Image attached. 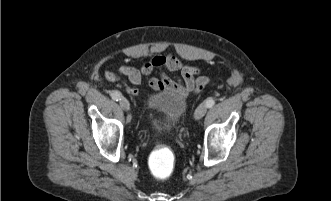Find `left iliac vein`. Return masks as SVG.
Wrapping results in <instances>:
<instances>
[{
    "label": "left iliac vein",
    "instance_id": "4c4485c4",
    "mask_svg": "<svg viewBox=\"0 0 331 201\" xmlns=\"http://www.w3.org/2000/svg\"><path fill=\"white\" fill-rule=\"evenodd\" d=\"M206 111H207L206 105L200 104L195 110V113H194L195 119L196 120L201 119L206 114Z\"/></svg>",
    "mask_w": 331,
    "mask_h": 201
}]
</instances>
